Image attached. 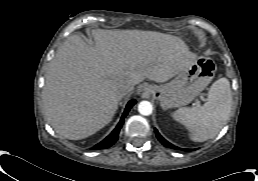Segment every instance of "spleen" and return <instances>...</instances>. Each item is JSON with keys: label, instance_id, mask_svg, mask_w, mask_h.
Returning a JSON list of instances; mask_svg holds the SVG:
<instances>
[{"label": "spleen", "instance_id": "obj_1", "mask_svg": "<svg viewBox=\"0 0 258 181\" xmlns=\"http://www.w3.org/2000/svg\"><path fill=\"white\" fill-rule=\"evenodd\" d=\"M231 106L230 82L220 78L211 85L204 105L180 108L172 117L190 131L191 140L203 142L214 138L223 128L229 119Z\"/></svg>", "mask_w": 258, "mask_h": 181}]
</instances>
